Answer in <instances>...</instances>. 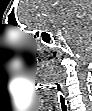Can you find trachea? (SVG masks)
<instances>
[{
	"instance_id": "obj_1",
	"label": "trachea",
	"mask_w": 92,
	"mask_h": 111,
	"mask_svg": "<svg viewBox=\"0 0 92 111\" xmlns=\"http://www.w3.org/2000/svg\"><path fill=\"white\" fill-rule=\"evenodd\" d=\"M62 107H63V105H62ZM64 107H65V108L63 109V111H67L66 105H64Z\"/></svg>"
}]
</instances>
